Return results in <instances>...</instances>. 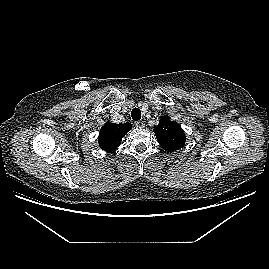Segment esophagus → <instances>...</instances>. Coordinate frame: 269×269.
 <instances>
[{"instance_id": "obj_1", "label": "esophagus", "mask_w": 269, "mask_h": 269, "mask_svg": "<svg viewBox=\"0 0 269 269\" xmlns=\"http://www.w3.org/2000/svg\"><path fill=\"white\" fill-rule=\"evenodd\" d=\"M135 126L138 128H143V127H145V123H144V121H136Z\"/></svg>"}]
</instances>
